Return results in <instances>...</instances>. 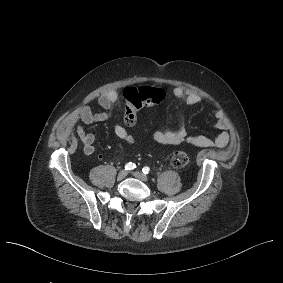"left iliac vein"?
I'll return each instance as SVG.
<instances>
[{"label":"left iliac vein","instance_id":"left-iliac-vein-1","mask_svg":"<svg viewBox=\"0 0 283 283\" xmlns=\"http://www.w3.org/2000/svg\"><path fill=\"white\" fill-rule=\"evenodd\" d=\"M134 177H136L137 179L143 181V182H147L148 181V177L146 175H144L141 172H133Z\"/></svg>","mask_w":283,"mask_h":283}]
</instances>
